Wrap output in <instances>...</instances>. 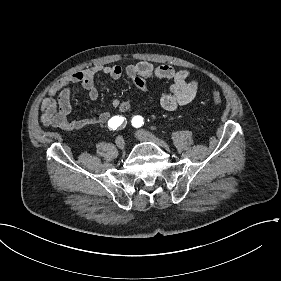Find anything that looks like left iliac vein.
I'll use <instances>...</instances> for the list:
<instances>
[{"mask_svg":"<svg viewBox=\"0 0 281 281\" xmlns=\"http://www.w3.org/2000/svg\"><path fill=\"white\" fill-rule=\"evenodd\" d=\"M135 136L140 141H150V142H153V143H155L156 145H158L162 148H165V149L169 148L168 144L164 140L159 139L158 137H156L152 133L147 132L145 130L137 131L135 133Z\"/></svg>","mask_w":281,"mask_h":281,"instance_id":"4c4485c4","label":"left iliac vein"}]
</instances>
